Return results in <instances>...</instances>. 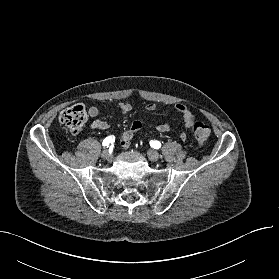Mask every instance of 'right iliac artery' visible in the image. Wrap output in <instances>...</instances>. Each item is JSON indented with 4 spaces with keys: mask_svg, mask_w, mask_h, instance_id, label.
Here are the masks:
<instances>
[{
    "mask_svg": "<svg viewBox=\"0 0 279 279\" xmlns=\"http://www.w3.org/2000/svg\"><path fill=\"white\" fill-rule=\"evenodd\" d=\"M115 141L114 136H108L103 140V146L108 147L110 144H112Z\"/></svg>",
    "mask_w": 279,
    "mask_h": 279,
    "instance_id": "right-iliac-artery-1",
    "label": "right iliac artery"
}]
</instances>
